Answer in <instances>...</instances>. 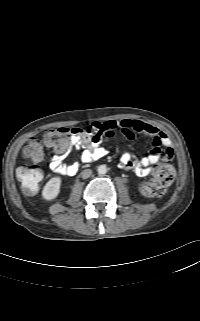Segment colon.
I'll use <instances>...</instances> for the list:
<instances>
[{"label": "colon", "mask_w": 200, "mask_h": 321, "mask_svg": "<svg viewBox=\"0 0 200 321\" xmlns=\"http://www.w3.org/2000/svg\"><path fill=\"white\" fill-rule=\"evenodd\" d=\"M73 130L67 128H58L47 132L43 138L44 143L58 150H65ZM23 155L34 161L43 157L42 141L38 138H32L23 150ZM172 155L167 157L156 168L152 178L144 182L141 186V192L145 196L159 197L166 193L175 177V169L171 164ZM16 175L21 183V187L27 195H33L38 191L39 184L43 177L41 167L36 163H24L16 170Z\"/></svg>", "instance_id": "colon-1"}]
</instances>
